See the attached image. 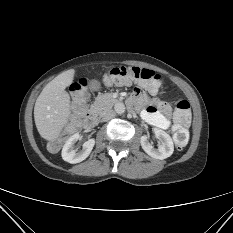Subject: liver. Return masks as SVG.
Here are the masks:
<instances>
[{"mask_svg":"<svg viewBox=\"0 0 233 233\" xmlns=\"http://www.w3.org/2000/svg\"><path fill=\"white\" fill-rule=\"evenodd\" d=\"M75 70L62 72L50 81L38 96L34 120L40 136L48 141L58 139L71 116L70 96L65 91L74 78Z\"/></svg>","mask_w":233,"mask_h":233,"instance_id":"6515ba94","label":"liver"}]
</instances>
